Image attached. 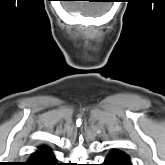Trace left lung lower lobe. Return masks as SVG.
Wrapping results in <instances>:
<instances>
[{
  "label": "left lung lower lobe",
  "mask_w": 165,
  "mask_h": 165,
  "mask_svg": "<svg viewBox=\"0 0 165 165\" xmlns=\"http://www.w3.org/2000/svg\"><path fill=\"white\" fill-rule=\"evenodd\" d=\"M102 165H132L127 155L121 151H113Z\"/></svg>",
  "instance_id": "left-lung-lower-lobe-1"
}]
</instances>
